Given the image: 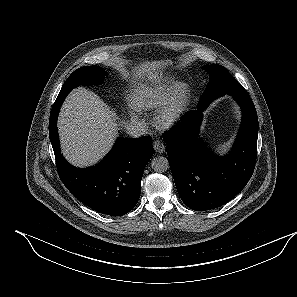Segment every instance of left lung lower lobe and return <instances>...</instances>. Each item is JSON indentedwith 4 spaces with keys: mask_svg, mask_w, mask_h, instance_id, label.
I'll use <instances>...</instances> for the list:
<instances>
[{
    "mask_svg": "<svg viewBox=\"0 0 297 297\" xmlns=\"http://www.w3.org/2000/svg\"><path fill=\"white\" fill-rule=\"evenodd\" d=\"M243 116L231 152L214 156L197 138L203 111L210 104H199L163 136L177 191L191 209L205 211L233 199L251 178L257 156L258 118L249 94L233 95Z\"/></svg>",
    "mask_w": 297,
    "mask_h": 297,
    "instance_id": "obj_1",
    "label": "left lung lower lobe"
}]
</instances>
